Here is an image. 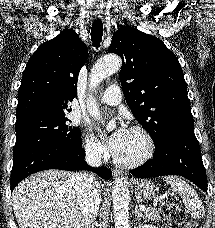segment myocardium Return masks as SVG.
<instances>
[{"instance_id":"myocardium-1","label":"myocardium","mask_w":215,"mask_h":228,"mask_svg":"<svg viewBox=\"0 0 215 228\" xmlns=\"http://www.w3.org/2000/svg\"><path fill=\"white\" fill-rule=\"evenodd\" d=\"M130 130L142 135L145 147L138 157L131 160H122L114 157V163L121 168H135L144 164L153 156L155 150L154 140L147 128L141 125H134Z\"/></svg>"}]
</instances>
